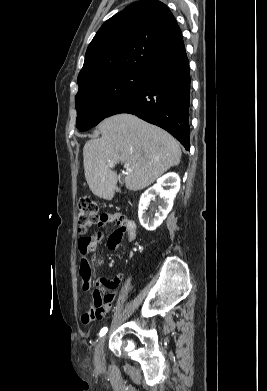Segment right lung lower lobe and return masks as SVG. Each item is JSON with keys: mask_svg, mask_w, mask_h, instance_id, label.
Listing matches in <instances>:
<instances>
[{"mask_svg": "<svg viewBox=\"0 0 267 391\" xmlns=\"http://www.w3.org/2000/svg\"><path fill=\"white\" fill-rule=\"evenodd\" d=\"M190 70L186 52L152 66L142 86L109 116L131 113L172 134L189 150Z\"/></svg>", "mask_w": 267, "mask_h": 391, "instance_id": "98d812e1", "label": "right lung lower lobe"}]
</instances>
